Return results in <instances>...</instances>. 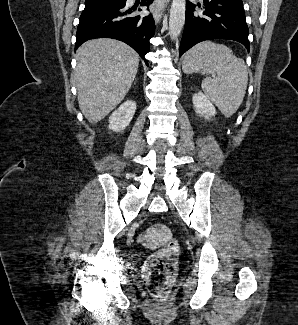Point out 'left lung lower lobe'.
I'll return each mask as SVG.
<instances>
[{
	"instance_id": "obj_1",
	"label": "left lung lower lobe",
	"mask_w": 298,
	"mask_h": 325,
	"mask_svg": "<svg viewBox=\"0 0 298 325\" xmlns=\"http://www.w3.org/2000/svg\"><path fill=\"white\" fill-rule=\"evenodd\" d=\"M196 5L186 3V19L179 56L195 44L211 39H229L250 49L248 26L242 0H204L203 13H194ZM198 7H201L198 4Z\"/></svg>"
}]
</instances>
